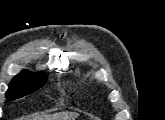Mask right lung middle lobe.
<instances>
[{"instance_id": "1", "label": "right lung middle lobe", "mask_w": 165, "mask_h": 120, "mask_svg": "<svg viewBox=\"0 0 165 120\" xmlns=\"http://www.w3.org/2000/svg\"><path fill=\"white\" fill-rule=\"evenodd\" d=\"M45 82L46 76L43 73L34 74L24 70L10 82L9 89L6 92V98L10 101L21 98L35 92L41 88Z\"/></svg>"}]
</instances>
